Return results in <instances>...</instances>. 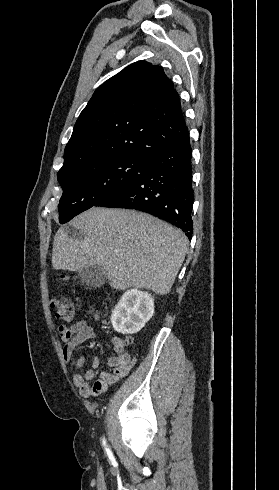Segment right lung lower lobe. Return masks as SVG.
Listing matches in <instances>:
<instances>
[{"label":"right lung lower lobe","mask_w":279,"mask_h":490,"mask_svg":"<svg viewBox=\"0 0 279 490\" xmlns=\"http://www.w3.org/2000/svg\"><path fill=\"white\" fill-rule=\"evenodd\" d=\"M190 139L151 160L142 176L108 194L95 206L136 209L163 219L193 234Z\"/></svg>","instance_id":"obj_1"}]
</instances>
